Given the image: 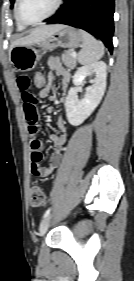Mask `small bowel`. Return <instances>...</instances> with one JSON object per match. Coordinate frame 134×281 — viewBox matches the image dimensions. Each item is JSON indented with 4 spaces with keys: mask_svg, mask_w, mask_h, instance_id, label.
Returning a JSON list of instances; mask_svg holds the SVG:
<instances>
[{
    "mask_svg": "<svg viewBox=\"0 0 134 281\" xmlns=\"http://www.w3.org/2000/svg\"><path fill=\"white\" fill-rule=\"evenodd\" d=\"M51 73L48 74L47 85L40 91L39 97L41 99H48L52 101L54 98L50 94V89L54 81V76L61 78L62 92L65 95L70 83V73L63 67L61 61L57 57H50L47 61ZM16 84L21 92L23 102L24 115L28 123V130L30 134L36 135L39 132V115L37 109V98L32 92L33 81L27 74H20L16 78ZM59 134H52L50 140L53 144V151L50 155L48 166H41L43 159L41 152L42 143L37 137H33L31 141V165L30 171L35 176H48L54 169L59 167L62 161V151L67 141V127L63 118L57 121Z\"/></svg>",
    "mask_w": 134,
    "mask_h": 281,
    "instance_id": "c3829d8e",
    "label": "small bowel"
}]
</instances>
